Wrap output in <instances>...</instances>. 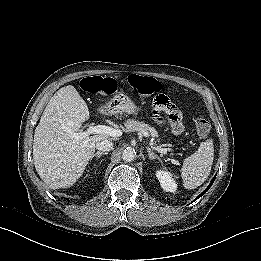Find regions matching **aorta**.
Wrapping results in <instances>:
<instances>
[{
  "label": "aorta",
  "mask_w": 261,
  "mask_h": 261,
  "mask_svg": "<svg viewBox=\"0 0 261 261\" xmlns=\"http://www.w3.org/2000/svg\"><path fill=\"white\" fill-rule=\"evenodd\" d=\"M137 157L136 151L133 148H126L124 149V151L122 152V159L125 162H132L133 160H135Z\"/></svg>",
  "instance_id": "762f6f07"
}]
</instances>
